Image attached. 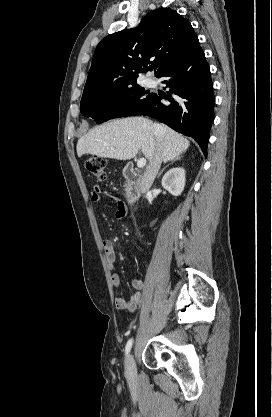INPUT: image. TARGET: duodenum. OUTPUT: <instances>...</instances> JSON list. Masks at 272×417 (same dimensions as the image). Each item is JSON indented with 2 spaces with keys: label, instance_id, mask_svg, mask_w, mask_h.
I'll list each match as a JSON object with an SVG mask.
<instances>
[{
  "label": "duodenum",
  "instance_id": "duodenum-1",
  "mask_svg": "<svg viewBox=\"0 0 272 417\" xmlns=\"http://www.w3.org/2000/svg\"><path fill=\"white\" fill-rule=\"evenodd\" d=\"M123 175L128 181L126 190L128 204L134 203L141 194L142 175L132 164H126L123 168Z\"/></svg>",
  "mask_w": 272,
  "mask_h": 417
}]
</instances>
